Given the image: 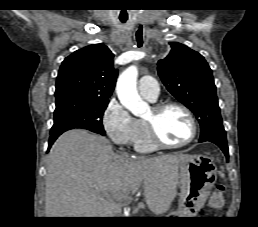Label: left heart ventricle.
I'll list each match as a JSON object with an SVG mask.
<instances>
[{
    "mask_svg": "<svg viewBox=\"0 0 258 227\" xmlns=\"http://www.w3.org/2000/svg\"><path fill=\"white\" fill-rule=\"evenodd\" d=\"M145 119L152 120L160 137L169 143H180L186 140L191 133V125L186 114L175 107L168 108L160 114L149 110Z\"/></svg>",
    "mask_w": 258,
    "mask_h": 227,
    "instance_id": "1",
    "label": "left heart ventricle"
}]
</instances>
